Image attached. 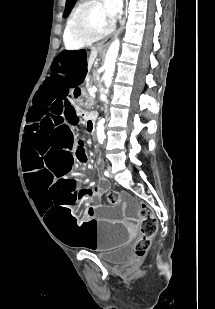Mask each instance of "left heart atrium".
<instances>
[{"label":"left heart atrium","mask_w":215,"mask_h":309,"mask_svg":"<svg viewBox=\"0 0 215 309\" xmlns=\"http://www.w3.org/2000/svg\"><path fill=\"white\" fill-rule=\"evenodd\" d=\"M106 9L103 12L105 20H115L119 12L123 11L120 0H105Z\"/></svg>","instance_id":"1"}]
</instances>
